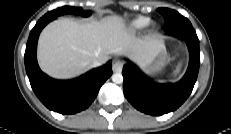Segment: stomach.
<instances>
[{
	"label": "stomach",
	"mask_w": 231,
	"mask_h": 134,
	"mask_svg": "<svg viewBox=\"0 0 231 134\" xmlns=\"http://www.w3.org/2000/svg\"><path fill=\"white\" fill-rule=\"evenodd\" d=\"M168 61L165 48L160 49L157 54L147 62H140L139 65L147 74H156L162 70Z\"/></svg>",
	"instance_id": "0dacf381"
}]
</instances>
